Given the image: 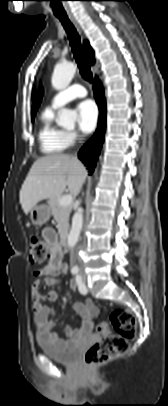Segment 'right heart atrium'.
Returning a JSON list of instances; mask_svg holds the SVG:
<instances>
[{
  "label": "right heart atrium",
  "mask_w": 168,
  "mask_h": 406,
  "mask_svg": "<svg viewBox=\"0 0 168 406\" xmlns=\"http://www.w3.org/2000/svg\"><path fill=\"white\" fill-rule=\"evenodd\" d=\"M67 136L70 144L76 142L79 139V134L75 131H68Z\"/></svg>",
  "instance_id": "1"
}]
</instances>
